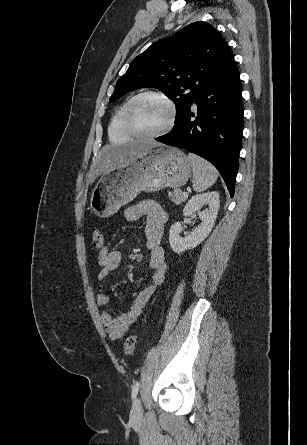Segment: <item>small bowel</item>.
<instances>
[{
    "instance_id": "1",
    "label": "small bowel",
    "mask_w": 307,
    "mask_h": 445,
    "mask_svg": "<svg viewBox=\"0 0 307 445\" xmlns=\"http://www.w3.org/2000/svg\"><path fill=\"white\" fill-rule=\"evenodd\" d=\"M143 216L146 217V246L150 252L148 265L152 271L150 283L143 289L134 292L133 302L127 311L117 316L109 311L102 312L101 322L112 340L122 338L142 316L149 299L163 283L167 270L165 251L161 245L167 214L158 202L152 200L139 202L125 210V218L128 221H137ZM121 259V252L111 249L108 245L104 246L98 256L100 266L98 281L106 282L110 274L119 267ZM97 303L100 306H107L109 304L108 294L104 291L100 292L97 296Z\"/></svg>"
}]
</instances>
